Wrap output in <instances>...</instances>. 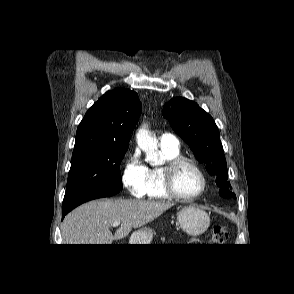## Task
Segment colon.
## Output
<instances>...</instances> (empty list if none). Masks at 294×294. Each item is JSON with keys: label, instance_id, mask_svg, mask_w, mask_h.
Masks as SVG:
<instances>
[{"label": "colon", "instance_id": "5ec220e1", "mask_svg": "<svg viewBox=\"0 0 294 294\" xmlns=\"http://www.w3.org/2000/svg\"><path fill=\"white\" fill-rule=\"evenodd\" d=\"M229 237V230L226 226L217 225L213 228L211 234V243L216 246L224 245Z\"/></svg>", "mask_w": 294, "mask_h": 294}]
</instances>
